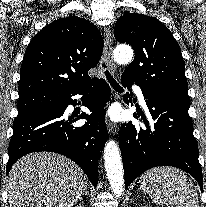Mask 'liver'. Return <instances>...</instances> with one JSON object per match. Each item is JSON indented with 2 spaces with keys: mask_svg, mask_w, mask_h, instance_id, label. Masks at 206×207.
<instances>
[{
  "mask_svg": "<svg viewBox=\"0 0 206 207\" xmlns=\"http://www.w3.org/2000/svg\"><path fill=\"white\" fill-rule=\"evenodd\" d=\"M87 188V177L68 158L50 152L28 154L11 168V207H72Z\"/></svg>",
  "mask_w": 206,
  "mask_h": 207,
  "instance_id": "liver-1",
  "label": "liver"
}]
</instances>
